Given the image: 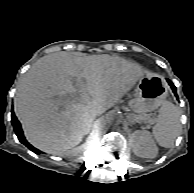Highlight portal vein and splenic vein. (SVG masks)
Here are the masks:
<instances>
[{"label":"portal vein and splenic vein","mask_w":194,"mask_h":193,"mask_svg":"<svg viewBox=\"0 0 194 193\" xmlns=\"http://www.w3.org/2000/svg\"><path fill=\"white\" fill-rule=\"evenodd\" d=\"M82 92H83V95H86V93H85L86 91L84 90V88L82 89Z\"/></svg>","instance_id":"18ae733b"}]
</instances>
